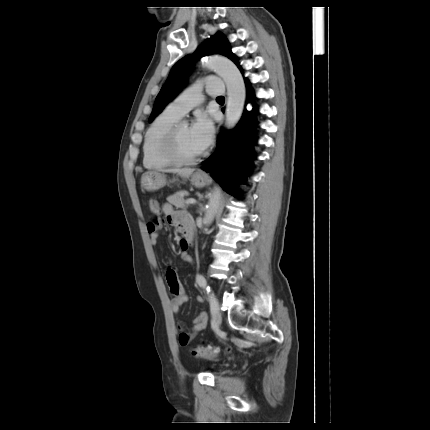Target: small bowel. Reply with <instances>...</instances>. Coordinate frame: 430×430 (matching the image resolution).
Instances as JSON below:
<instances>
[{
	"label": "small bowel",
	"mask_w": 430,
	"mask_h": 430,
	"mask_svg": "<svg viewBox=\"0 0 430 430\" xmlns=\"http://www.w3.org/2000/svg\"><path fill=\"white\" fill-rule=\"evenodd\" d=\"M162 211L165 214V220L152 219L147 224V231L149 234V241L151 245L155 246L158 242L160 231L163 226L167 223L173 225L177 231L183 236L180 240V248L182 250V259L190 264H193V259L187 254L188 243L187 239L193 234L192 222L189 217L180 211L174 209V207L165 203L162 206ZM167 281L170 292L172 294L171 308L174 313H178L181 307L187 303L188 296L186 295L182 284L177 279L176 273L173 269L167 272ZM198 302H202L201 297H197ZM208 321V316L206 313H200L194 320V326L190 331H184L181 329V333L178 337V343L186 347L188 346L193 338L203 329H205Z\"/></svg>",
	"instance_id": "1"
}]
</instances>
